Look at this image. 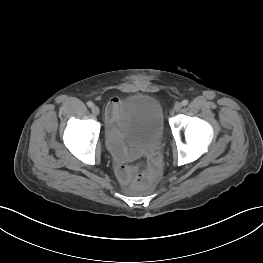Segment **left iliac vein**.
Returning a JSON list of instances; mask_svg holds the SVG:
<instances>
[{
	"label": "left iliac vein",
	"instance_id": "4c4485c4",
	"mask_svg": "<svg viewBox=\"0 0 263 263\" xmlns=\"http://www.w3.org/2000/svg\"><path fill=\"white\" fill-rule=\"evenodd\" d=\"M182 108V104L181 103H176L174 106V111L179 112Z\"/></svg>",
	"mask_w": 263,
	"mask_h": 263
}]
</instances>
